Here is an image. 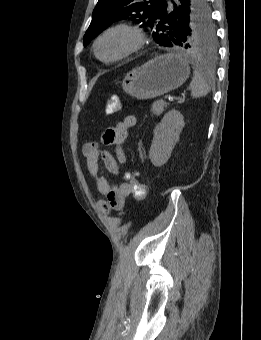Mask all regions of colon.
Listing matches in <instances>:
<instances>
[{
    "instance_id": "5ec220e1",
    "label": "colon",
    "mask_w": 261,
    "mask_h": 340,
    "mask_svg": "<svg viewBox=\"0 0 261 340\" xmlns=\"http://www.w3.org/2000/svg\"><path fill=\"white\" fill-rule=\"evenodd\" d=\"M121 103L116 96H112L106 102V112L108 114H113L119 111ZM136 173H126V180L131 187V193L138 200H143L148 194V186L144 183L139 182L136 179Z\"/></svg>"
}]
</instances>
